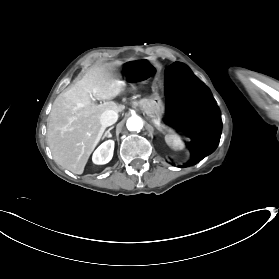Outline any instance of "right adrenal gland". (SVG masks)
Segmentation results:
<instances>
[{
    "mask_svg": "<svg viewBox=\"0 0 279 279\" xmlns=\"http://www.w3.org/2000/svg\"><path fill=\"white\" fill-rule=\"evenodd\" d=\"M113 128H114V126H111V127L107 130V132L105 133L104 137L111 138L112 135L110 134V130H112Z\"/></svg>",
    "mask_w": 279,
    "mask_h": 279,
    "instance_id": "right-adrenal-gland-1",
    "label": "right adrenal gland"
}]
</instances>
